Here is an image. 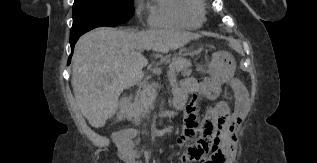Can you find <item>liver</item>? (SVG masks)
<instances>
[{
  "label": "liver",
  "mask_w": 317,
  "mask_h": 163,
  "mask_svg": "<svg viewBox=\"0 0 317 163\" xmlns=\"http://www.w3.org/2000/svg\"><path fill=\"white\" fill-rule=\"evenodd\" d=\"M200 35L173 30H117L99 27L80 37L72 58V87L76 103L95 128L118 109L122 91L139 82L148 60L144 49L167 53Z\"/></svg>",
  "instance_id": "1"
}]
</instances>
